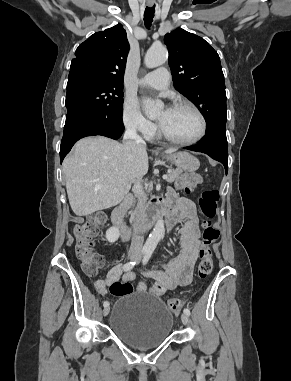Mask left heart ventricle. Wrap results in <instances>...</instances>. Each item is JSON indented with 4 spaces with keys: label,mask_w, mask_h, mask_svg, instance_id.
I'll list each match as a JSON object with an SVG mask.
<instances>
[{
    "label": "left heart ventricle",
    "mask_w": 291,
    "mask_h": 381,
    "mask_svg": "<svg viewBox=\"0 0 291 381\" xmlns=\"http://www.w3.org/2000/svg\"><path fill=\"white\" fill-rule=\"evenodd\" d=\"M157 120L164 132L179 140L195 137L201 126L197 114L186 107L162 110Z\"/></svg>",
    "instance_id": "left-heart-ventricle-1"
}]
</instances>
